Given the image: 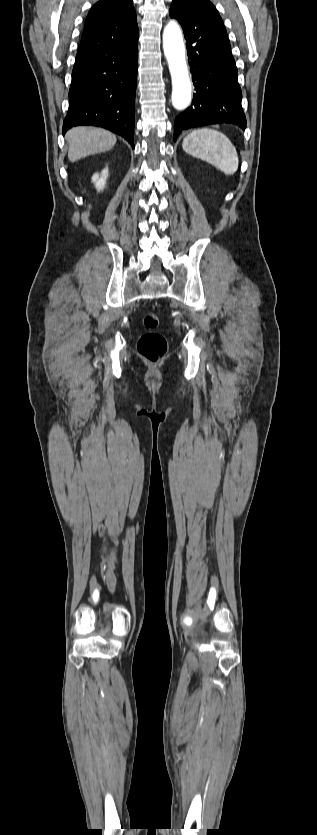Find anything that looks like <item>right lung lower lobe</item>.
<instances>
[{"label":"right lung lower lobe","instance_id":"1","mask_svg":"<svg viewBox=\"0 0 317 835\" xmlns=\"http://www.w3.org/2000/svg\"><path fill=\"white\" fill-rule=\"evenodd\" d=\"M138 35L115 46L80 45L72 71L63 135L72 127L98 126L134 147Z\"/></svg>","mask_w":317,"mask_h":835}]
</instances>
